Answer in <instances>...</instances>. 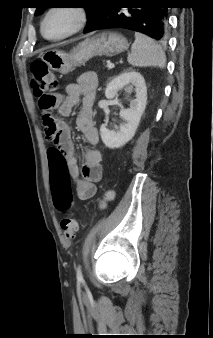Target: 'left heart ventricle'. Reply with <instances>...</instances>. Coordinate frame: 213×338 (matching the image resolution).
Listing matches in <instances>:
<instances>
[{
	"label": "left heart ventricle",
	"mask_w": 213,
	"mask_h": 338,
	"mask_svg": "<svg viewBox=\"0 0 213 338\" xmlns=\"http://www.w3.org/2000/svg\"><path fill=\"white\" fill-rule=\"evenodd\" d=\"M75 22L74 15L67 10H58L52 13L45 24V33L48 36H59L69 31Z\"/></svg>",
	"instance_id": "1"
}]
</instances>
